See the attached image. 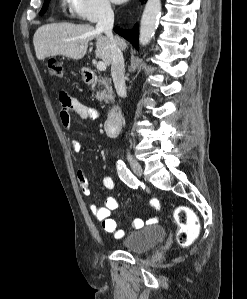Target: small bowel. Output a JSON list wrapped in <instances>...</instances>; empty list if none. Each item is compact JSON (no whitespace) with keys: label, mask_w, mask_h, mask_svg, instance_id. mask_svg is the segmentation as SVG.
Listing matches in <instances>:
<instances>
[{"label":"small bowel","mask_w":247,"mask_h":299,"mask_svg":"<svg viewBox=\"0 0 247 299\" xmlns=\"http://www.w3.org/2000/svg\"><path fill=\"white\" fill-rule=\"evenodd\" d=\"M61 112L60 118L63 126L67 129L71 127L72 114H76L82 120L98 119L99 113L96 109L82 103L76 98L71 97L65 91L60 93ZM92 138H89L91 140ZM71 148L78 153L82 149V143L77 139L71 140ZM77 180L83 194L89 195L91 192L88 175L84 171H78ZM102 185L107 190L115 188L116 182L112 176H105L102 180ZM152 217L147 220L148 223H154L157 220V215L160 210V203L156 198L150 199ZM118 208V200L114 196H108L102 206L91 203L90 210L95 219L101 224L103 230L113 235L115 238H122L124 232L118 228L117 222L111 217L112 211ZM144 226V221L140 218H135L131 227L140 229Z\"/></svg>","instance_id":"small-bowel-1"}]
</instances>
